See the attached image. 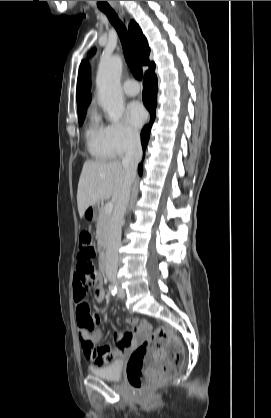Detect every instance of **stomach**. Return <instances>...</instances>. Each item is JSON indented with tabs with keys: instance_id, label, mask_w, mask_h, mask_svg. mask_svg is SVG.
Here are the masks:
<instances>
[{
	"instance_id": "0dacf381",
	"label": "stomach",
	"mask_w": 271,
	"mask_h": 418,
	"mask_svg": "<svg viewBox=\"0 0 271 418\" xmlns=\"http://www.w3.org/2000/svg\"><path fill=\"white\" fill-rule=\"evenodd\" d=\"M99 212V204L89 206L84 212V218L88 221H94Z\"/></svg>"
}]
</instances>
